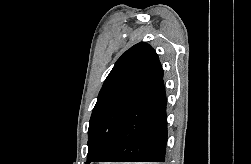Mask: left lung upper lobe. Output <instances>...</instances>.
<instances>
[{
	"label": "left lung upper lobe",
	"mask_w": 251,
	"mask_h": 164,
	"mask_svg": "<svg viewBox=\"0 0 251 164\" xmlns=\"http://www.w3.org/2000/svg\"><path fill=\"white\" fill-rule=\"evenodd\" d=\"M163 75L155 50L141 42L127 50L107 76L88 129L87 162L105 160L130 108Z\"/></svg>",
	"instance_id": "1"
}]
</instances>
